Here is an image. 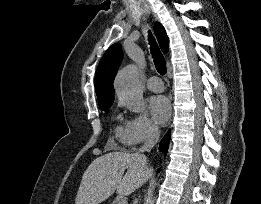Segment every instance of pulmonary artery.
<instances>
[{"label": "pulmonary artery", "mask_w": 261, "mask_h": 204, "mask_svg": "<svg viewBox=\"0 0 261 204\" xmlns=\"http://www.w3.org/2000/svg\"><path fill=\"white\" fill-rule=\"evenodd\" d=\"M147 88L152 92H162L164 89L163 83L157 76H152L147 80Z\"/></svg>", "instance_id": "obj_1"}]
</instances>
